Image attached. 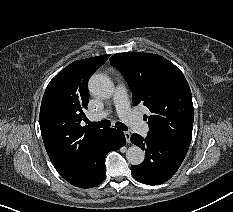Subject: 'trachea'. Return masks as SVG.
<instances>
[{"mask_svg":"<svg viewBox=\"0 0 233 212\" xmlns=\"http://www.w3.org/2000/svg\"><path fill=\"white\" fill-rule=\"evenodd\" d=\"M87 124H89V126H91V127L108 128V127H110L111 122L109 120H102V121H98V122H91V121L87 120ZM115 127L122 130V131L128 130L127 126L121 122H117L115 124Z\"/></svg>","mask_w":233,"mask_h":212,"instance_id":"3493384b","label":"trachea"}]
</instances>
